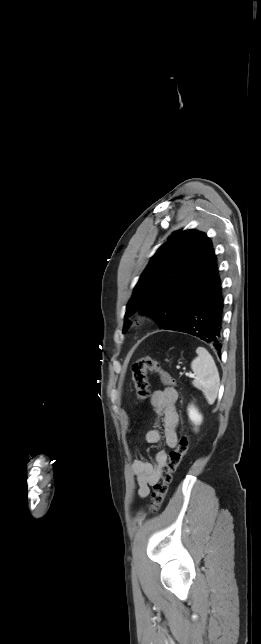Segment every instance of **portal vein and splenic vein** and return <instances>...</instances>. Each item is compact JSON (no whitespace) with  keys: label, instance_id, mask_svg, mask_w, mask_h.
Masks as SVG:
<instances>
[{"label":"portal vein and splenic vein","instance_id":"obj_1","mask_svg":"<svg viewBox=\"0 0 261 644\" xmlns=\"http://www.w3.org/2000/svg\"><path fill=\"white\" fill-rule=\"evenodd\" d=\"M185 376L190 377V378H193V377L195 376V374H192V373H185Z\"/></svg>","mask_w":261,"mask_h":644}]
</instances>
